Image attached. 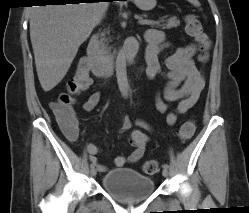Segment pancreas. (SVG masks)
<instances>
[{
  "label": "pancreas",
  "mask_w": 249,
  "mask_h": 213,
  "mask_svg": "<svg viewBox=\"0 0 249 213\" xmlns=\"http://www.w3.org/2000/svg\"><path fill=\"white\" fill-rule=\"evenodd\" d=\"M159 21L153 22L152 26H159ZM180 25V21L176 17L170 18L166 24L163 25V29H170ZM110 48L107 46V39L105 37L101 38V51L104 55L109 56Z\"/></svg>",
  "instance_id": "pancreas-1"
}]
</instances>
